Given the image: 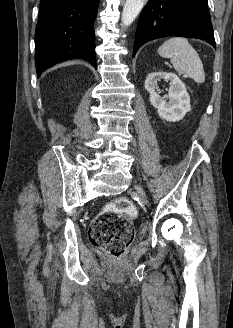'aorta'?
<instances>
[{
    "mask_svg": "<svg viewBox=\"0 0 233 328\" xmlns=\"http://www.w3.org/2000/svg\"><path fill=\"white\" fill-rule=\"evenodd\" d=\"M148 0H126L122 13V24L130 25Z\"/></svg>",
    "mask_w": 233,
    "mask_h": 328,
    "instance_id": "762f6f07",
    "label": "aorta"
}]
</instances>
